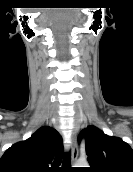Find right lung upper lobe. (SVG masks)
I'll return each instance as SVG.
<instances>
[{
  "instance_id": "obj_1",
  "label": "right lung upper lobe",
  "mask_w": 133,
  "mask_h": 172,
  "mask_svg": "<svg viewBox=\"0 0 133 172\" xmlns=\"http://www.w3.org/2000/svg\"><path fill=\"white\" fill-rule=\"evenodd\" d=\"M62 157L61 136L54 128L44 126L5 151L0 172H58Z\"/></svg>"
}]
</instances>
